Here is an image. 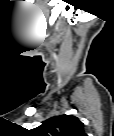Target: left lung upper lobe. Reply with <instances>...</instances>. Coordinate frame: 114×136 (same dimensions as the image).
Segmentation results:
<instances>
[{"instance_id": "5c2ea615", "label": "left lung upper lobe", "mask_w": 114, "mask_h": 136, "mask_svg": "<svg viewBox=\"0 0 114 136\" xmlns=\"http://www.w3.org/2000/svg\"><path fill=\"white\" fill-rule=\"evenodd\" d=\"M37 136H84L83 123L73 115L52 117L34 129Z\"/></svg>"}]
</instances>
